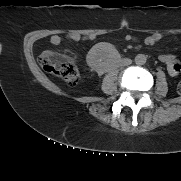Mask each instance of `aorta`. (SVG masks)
Segmentation results:
<instances>
[{
	"instance_id": "aorta-1",
	"label": "aorta",
	"mask_w": 181,
	"mask_h": 181,
	"mask_svg": "<svg viewBox=\"0 0 181 181\" xmlns=\"http://www.w3.org/2000/svg\"><path fill=\"white\" fill-rule=\"evenodd\" d=\"M134 60L137 65H144L147 61V57L144 54H138Z\"/></svg>"
}]
</instances>
